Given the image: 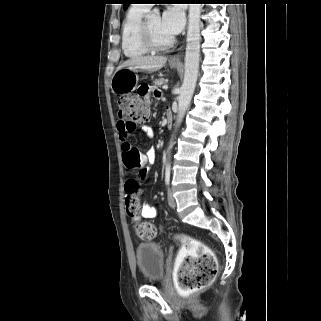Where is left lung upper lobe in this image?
<instances>
[{
    "mask_svg": "<svg viewBox=\"0 0 321 321\" xmlns=\"http://www.w3.org/2000/svg\"><path fill=\"white\" fill-rule=\"evenodd\" d=\"M124 8H127L128 5L131 3L132 0H122Z\"/></svg>",
    "mask_w": 321,
    "mask_h": 321,
    "instance_id": "5c2ea615",
    "label": "left lung upper lobe"
}]
</instances>
